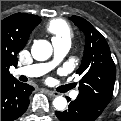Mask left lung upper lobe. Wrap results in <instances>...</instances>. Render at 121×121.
Returning <instances> with one entry per match:
<instances>
[{
    "label": "left lung upper lobe",
    "instance_id": "5c2ea615",
    "mask_svg": "<svg viewBox=\"0 0 121 121\" xmlns=\"http://www.w3.org/2000/svg\"><path fill=\"white\" fill-rule=\"evenodd\" d=\"M85 34L84 56L77 73L82 76L77 99L103 111L110 102L116 68L105 38L85 19L70 18Z\"/></svg>",
    "mask_w": 121,
    "mask_h": 121
}]
</instances>
